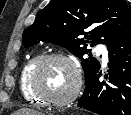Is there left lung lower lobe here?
Listing matches in <instances>:
<instances>
[{
	"instance_id": "left-lung-lower-lobe-1",
	"label": "left lung lower lobe",
	"mask_w": 131,
	"mask_h": 115,
	"mask_svg": "<svg viewBox=\"0 0 131 115\" xmlns=\"http://www.w3.org/2000/svg\"><path fill=\"white\" fill-rule=\"evenodd\" d=\"M107 82L100 81V68L85 84L78 106L99 115H131V26L108 47Z\"/></svg>"
}]
</instances>
